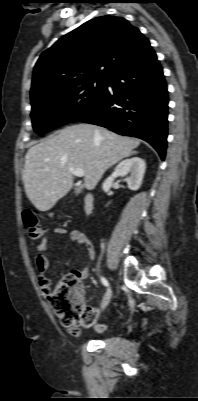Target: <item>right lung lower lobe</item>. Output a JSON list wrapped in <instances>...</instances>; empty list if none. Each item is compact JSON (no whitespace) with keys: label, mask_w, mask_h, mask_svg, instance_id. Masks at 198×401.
Here are the masks:
<instances>
[{"label":"right lung lower lobe","mask_w":198,"mask_h":401,"mask_svg":"<svg viewBox=\"0 0 198 401\" xmlns=\"http://www.w3.org/2000/svg\"><path fill=\"white\" fill-rule=\"evenodd\" d=\"M113 88V91L108 89ZM168 92L162 67L150 46L109 79L98 103L78 121L141 138L165 158Z\"/></svg>","instance_id":"1"}]
</instances>
